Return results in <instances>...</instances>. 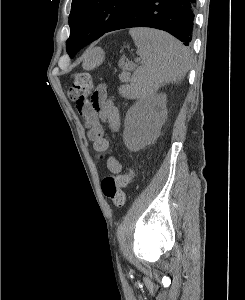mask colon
Instances as JSON below:
<instances>
[{"label":"colon","mask_w":245,"mask_h":300,"mask_svg":"<svg viewBox=\"0 0 245 300\" xmlns=\"http://www.w3.org/2000/svg\"><path fill=\"white\" fill-rule=\"evenodd\" d=\"M93 88V81L89 73L77 72L72 77V85L68 95L76 99L82 93H87ZM135 176V170L130 167L125 173L117 176L107 175L102 184L104 194L116 207H123L126 201L124 188L127 187Z\"/></svg>","instance_id":"obj_1"}]
</instances>
